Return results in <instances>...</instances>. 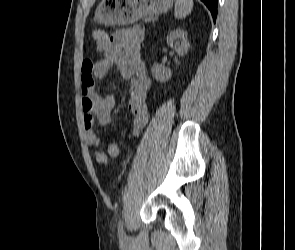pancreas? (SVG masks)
I'll return each mask as SVG.
<instances>
[{"mask_svg":"<svg viewBox=\"0 0 295 250\" xmlns=\"http://www.w3.org/2000/svg\"><path fill=\"white\" fill-rule=\"evenodd\" d=\"M152 20H153L152 17H146V18L144 19V22H149V21H152Z\"/></svg>","mask_w":295,"mask_h":250,"instance_id":"1","label":"pancreas"}]
</instances>
